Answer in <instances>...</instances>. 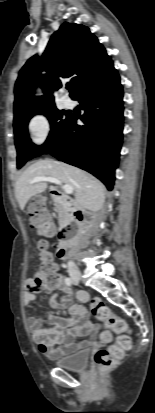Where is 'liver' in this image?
Listing matches in <instances>:
<instances>
[{
    "mask_svg": "<svg viewBox=\"0 0 155 413\" xmlns=\"http://www.w3.org/2000/svg\"><path fill=\"white\" fill-rule=\"evenodd\" d=\"M40 176L53 177L71 185L75 194L74 203L79 209L97 212L103 207L105 187L100 181L77 167L44 159L29 166L15 183V195L21 210H24L31 197L46 190L45 181L31 183L34 178Z\"/></svg>",
    "mask_w": 155,
    "mask_h": 413,
    "instance_id": "liver-1",
    "label": "liver"
}]
</instances>
